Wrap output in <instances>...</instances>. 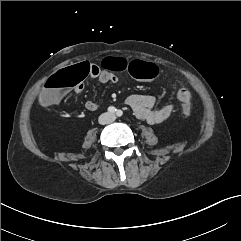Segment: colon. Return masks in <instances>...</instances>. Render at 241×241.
Segmentation results:
<instances>
[{
    "label": "colon",
    "mask_w": 241,
    "mask_h": 241,
    "mask_svg": "<svg viewBox=\"0 0 241 241\" xmlns=\"http://www.w3.org/2000/svg\"><path fill=\"white\" fill-rule=\"evenodd\" d=\"M103 66L111 71L129 72L139 78H153L156 76L157 68L152 63L141 64L138 61L128 62L125 58L109 57L103 61ZM90 65L85 61H78L74 65L54 74L45 84L40 101L43 105H51L59 101L65 91L78 86L81 81L90 74ZM190 92L187 90L178 91V98L182 102L181 110L185 116L192 113L190 104Z\"/></svg>",
    "instance_id": "5ec220e1"
}]
</instances>
